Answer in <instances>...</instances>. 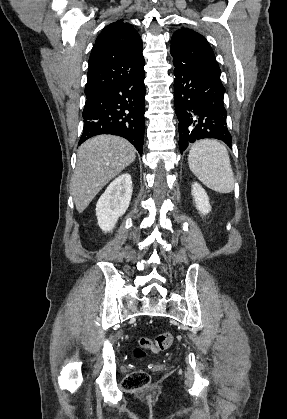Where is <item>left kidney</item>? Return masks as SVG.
Masks as SVG:
<instances>
[{
	"instance_id": "5707ae66",
	"label": "left kidney",
	"mask_w": 287,
	"mask_h": 419,
	"mask_svg": "<svg viewBox=\"0 0 287 419\" xmlns=\"http://www.w3.org/2000/svg\"><path fill=\"white\" fill-rule=\"evenodd\" d=\"M192 195L196 204L197 210L202 214L206 215L211 211L209 204V198L202 186L195 182L192 185Z\"/></svg>"
}]
</instances>
